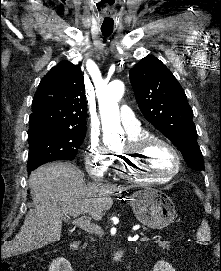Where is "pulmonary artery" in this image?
<instances>
[{
  "instance_id": "e3ab8cb5",
  "label": "pulmonary artery",
  "mask_w": 221,
  "mask_h": 271,
  "mask_svg": "<svg viewBox=\"0 0 221 271\" xmlns=\"http://www.w3.org/2000/svg\"><path fill=\"white\" fill-rule=\"evenodd\" d=\"M119 112L121 116V122L123 127H140L139 118L136 117L137 113L132 112V107H119ZM128 133H140V128H128Z\"/></svg>"
}]
</instances>
